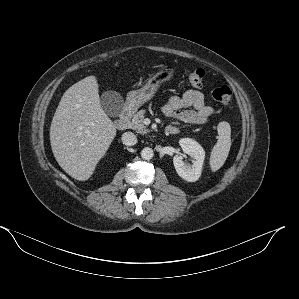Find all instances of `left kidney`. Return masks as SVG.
<instances>
[{"label":"left kidney","mask_w":299,"mask_h":299,"mask_svg":"<svg viewBox=\"0 0 299 299\" xmlns=\"http://www.w3.org/2000/svg\"><path fill=\"white\" fill-rule=\"evenodd\" d=\"M183 152L194 159L191 165L184 163L183 155L177 154L173 157V163L177 174L188 182L199 179L205 159L203 147L193 139L183 138L179 141Z\"/></svg>","instance_id":"5707ae66"}]
</instances>
